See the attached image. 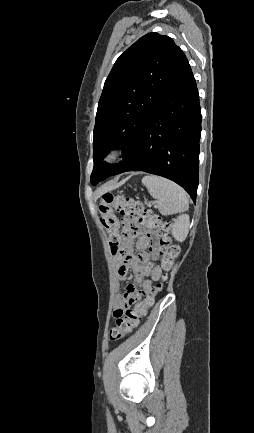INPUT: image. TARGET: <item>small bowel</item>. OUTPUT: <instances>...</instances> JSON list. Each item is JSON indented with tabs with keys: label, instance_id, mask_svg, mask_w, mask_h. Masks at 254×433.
Segmentation results:
<instances>
[{
	"label": "small bowel",
	"instance_id": "1",
	"mask_svg": "<svg viewBox=\"0 0 254 433\" xmlns=\"http://www.w3.org/2000/svg\"><path fill=\"white\" fill-rule=\"evenodd\" d=\"M135 237L137 241L135 247L139 251L138 255L133 252ZM149 248V252H147ZM159 245L153 234L144 232L141 229L132 231L128 234L127 250L124 256H115L117 266L118 280H124L129 271L134 272V281L129 283L122 296L115 302V310L121 308L128 296L134 297L140 301L155 293L154 283L158 282L161 277V268L150 262V259L158 257ZM149 275L150 279L143 280V277Z\"/></svg>",
	"mask_w": 254,
	"mask_h": 433
}]
</instances>
